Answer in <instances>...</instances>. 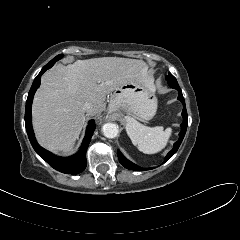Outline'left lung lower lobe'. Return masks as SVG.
I'll use <instances>...</instances> for the list:
<instances>
[{
  "label": "left lung lower lobe",
  "instance_id": "1",
  "mask_svg": "<svg viewBox=\"0 0 240 240\" xmlns=\"http://www.w3.org/2000/svg\"><path fill=\"white\" fill-rule=\"evenodd\" d=\"M166 79L168 80V84L172 88L178 90V93H179L178 99L183 104L182 116H183V119H184L183 123L181 124L182 130L179 133V140L176 143H174L173 149L167 154V156L165 158L167 160V159L171 158L177 152V150H178V148H179V146H180V144H181V142H182V140L184 138V135H185L186 129H187V124H188V121H187L188 116H187V111H186V107H185L184 97H183L182 91H181V89H180V87H179V85L177 83V80L174 79V78L167 77V76H166ZM118 158H119L120 163L127 169L136 170V171H145V170H147L146 168H141V167L135 165L134 163H132L131 161H129L128 159H126L122 155V153L120 151H118ZM149 169H152V168H148V170Z\"/></svg>",
  "mask_w": 240,
  "mask_h": 240
}]
</instances>
